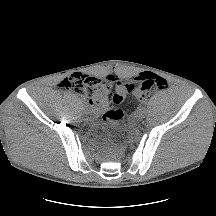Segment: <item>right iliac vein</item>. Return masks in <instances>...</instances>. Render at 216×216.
<instances>
[{
    "label": "right iliac vein",
    "mask_w": 216,
    "mask_h": 216,
    "mask_svg": "<svg viewBox=\"0 0 216 216\" xmlns=\"http://www.w3.org/2000/svg\"><path fill=\"white\" fill-rule=\"evenodd\" d=\"M90 114V111L87 109L86 111H84V115L88 116Z\"/></svg>",
    "instance_id": "63e3f726"
}]
</instances>
